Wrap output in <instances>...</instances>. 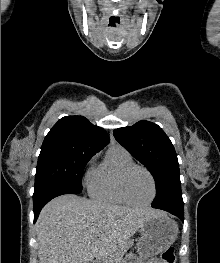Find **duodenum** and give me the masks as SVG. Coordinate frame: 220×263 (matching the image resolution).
Listing matches in <instances>:
<instances>
[{
    "mask_svg": "<svg viewBox=\"0 0 220 263\" xmlns=\"http://www.w3.org/2000/svg\"><path fill=\"white\" fill-rule=\"evenodd\" d=\"M92 263H99L98 261H93Z\"/></svg>",
    "mask_w": 220,
    "mask_h": 263,
    "instance_id": "obj_1",
    "label": "duodenum"
}]
</instances>
